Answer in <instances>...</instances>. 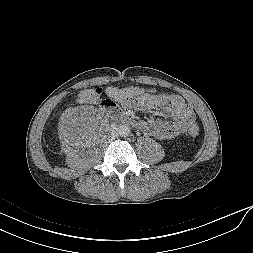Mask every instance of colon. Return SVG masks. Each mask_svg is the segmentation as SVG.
<instances>
[{
	"mask_svg": "<svg viewBox=\"0 0 253 253\" xmlns=\"http://www.w3.org/2000/svg\"><path fill=\"white\" fill-rule=\"evenodd\" d=\"M144 92H146L145 89L140 87H127L124 89H117L115 87H110L106 90L107 97L116 99L121 102H127L134 98L139 97ZM103 94V89L100 87H94L87 90H84L80 93V98L84 101L88 102H94L101 98ZM188 133L191 136H196L199 132V126L195 121H191L188 124L187 128Z\"/></svg>",
	"mask_w": 253,
	"mask_h": 253,
	"instance_id": "obj_1",
	"label": "colon"
}]
</instances>
